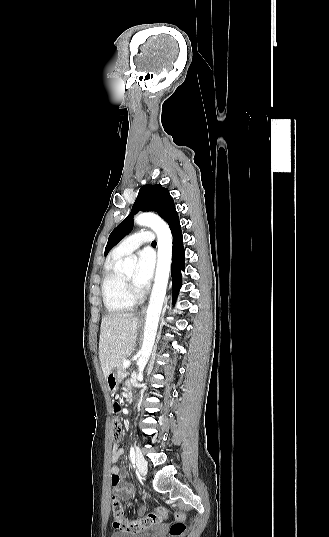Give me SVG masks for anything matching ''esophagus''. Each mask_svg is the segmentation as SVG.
Listing matches in <instances>:
<instances>
[{"mask_svg": "<svg viewBox=\"0 0 329 537\" xmlns=\"http://www.w3.org/2000/svg\"><path fill=\"white\" fill-rule=\"evenodd\" d=\"M146 312V306L142 308V310L140 311L139 315L143 316Z\"/></svg>", "mask_w": 329, "mask_h": 537, "instance_id": "esophagus-1", "label": "esophagus"}]
</instances>
